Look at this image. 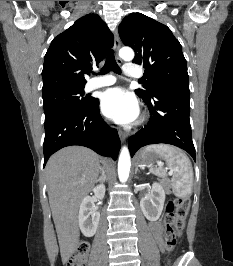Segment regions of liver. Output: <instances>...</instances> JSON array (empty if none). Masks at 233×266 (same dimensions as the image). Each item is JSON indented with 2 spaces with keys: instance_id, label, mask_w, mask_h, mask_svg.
I'll use <instances>...</instances> for the list:
<instances>
[{
  "instance_id": "1",
  "label": "liver",
  "mask_w": 233,
  "mask_h": 266,
  "mask_svg": "<svg viewBox=\"0 0 233 266\" xmlns=\"http://www.w3.org/2000/svg\"><path fill=\"white\" fill-rule=\"evenodd\" d=\"M101 163L110 165L91 149L69 146L53 154L46 164L49 203L63 262L78 244L80 202L97 182Z\"/></svg>"
}]
</instances>
